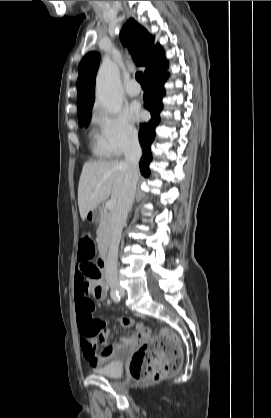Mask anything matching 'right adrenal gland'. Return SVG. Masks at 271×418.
<instances>
[{"label":"right adrenal gland","instance_id":"right-adrenal-gland-1","mask_svg":"<svg viewBox=\"0 0 271 418\" xmlns=\"http://www.w3.org/2000/svg\"><path fill=\"white\" fill-rule=\"evenodd\" d=\"M132 210V205H131V207H130V211Z\"/></svg>","mask_w":271,"mask_h":418}]
</instances>
